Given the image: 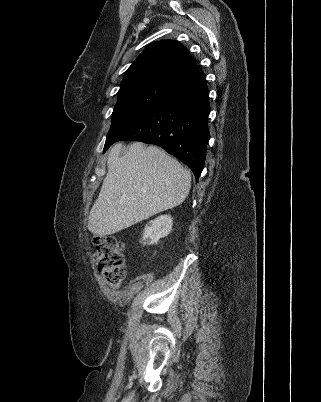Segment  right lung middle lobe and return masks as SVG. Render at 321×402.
<instances>
[{
    "label": "right lung middle lobe",
    "instance_id": "dd1d6c3e",
    "mask_svg": "<svg viewBox=\"0 0 321 402\" xmlns=\"http://www.w3.org/2000/svg\"><path fill=\"white\" fill-rule=\"evenodd\" d=\"M171 89L172 86L166 84L149 83L119 91L106 143L155 107L168 95Z\"/></svg>",
    "mask_w": 321,
    "mask_h": 402
}]
</instances>
